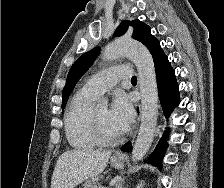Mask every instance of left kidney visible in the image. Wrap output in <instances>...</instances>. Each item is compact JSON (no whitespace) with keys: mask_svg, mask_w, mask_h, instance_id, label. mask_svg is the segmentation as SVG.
<instances>
[{"mask_svg":"<svg viewBox=\"0 0 224 188\" xmlns=\"http://www.w3.org/2000/svg\"><path fill=\"white\" fill-rule=\"evenodd\" d=\"M142 187H143V184H142V181H141L140 184H138L136 188H142Z\"/></svg>","mask_w":224,"mask_h":188,"instance_id":"obj_1","label":"left kidney"}]
</instances>
